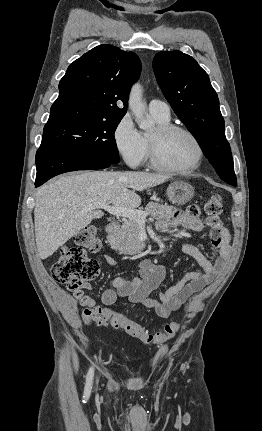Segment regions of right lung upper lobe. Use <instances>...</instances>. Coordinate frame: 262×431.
<instances>
[{
	"mask_svg": "<svg viewBox=\"0 0 262 431\" xmlns=\"http://www.w3.org/2000/svg\"><path fill=\"white\" fill-rule=\"evenodd\" d=\"M141 72L139 57L103 44L75 60L59 83V96L46 125L98 118H121L131 85Z\"/></svg>",
	"mask_w": 262,
	"mask_h": 431,
	"instance_id": "1",
	"label": "right lung upper lobe"
}]
</instances>
